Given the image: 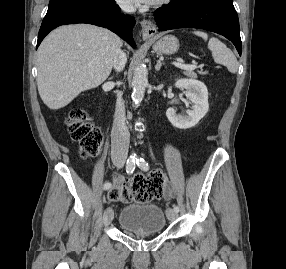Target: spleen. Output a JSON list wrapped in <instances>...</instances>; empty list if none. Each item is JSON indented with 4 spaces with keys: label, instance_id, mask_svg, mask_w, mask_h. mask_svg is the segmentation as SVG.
<instances>
[{
    "label": "spleen",
    "instance_id": "3e777b00",
    "mask_svg": "<svg viewBox=\"0 0 286 269\" xmlns=\"http://www.w3.org/2000/svg\"><path fill=\"white\" fill-rule=\"evenodd\" d=\"M195 35L202 37L204 40L208 39V35L202 31H194ZM208 48L212 52V56L216 63L227 67L231 73H236L238 70V62L233 52L226 47L219 39L212 37L208 42Z\"/></svg>",
    "mask_w": 286,
    "mask_h": 269
}]
</instances>
